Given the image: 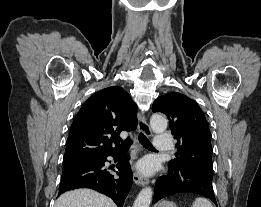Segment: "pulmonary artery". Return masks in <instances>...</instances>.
<instances>
[{
    "mask_svg": "<svg viewBox=\"0 0 261 207\" xmlns=\"http://www.w3.org/2000/svg\"><path fill=\"white\" fill-rule=\"evenodd\" d=\"M155 147L160 151H168L172 148V136L168 133H160L156 136Z\"/></svg>",
    "mask_w": 261,
    "mask_h": 207,
    "instance_id": "e3ab8cb5",
    "label": "pulmonary artery"
}]
</instances>
